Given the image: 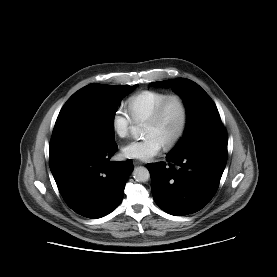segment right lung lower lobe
Returning a JSON list of instances; mask_svg holds the SVG:
<instances>
[{
  "label": "right lung lower lobe",
  "mask_w": 277,
  "mask_h": 277,
  "mask_svg": "<svg viewBox=\"0 0 277 277\" xmlns=\"http://www.w3.org/2000/svg\"><path fill=\"white\" fill-rule=\"evenodd\" d=\"M85 134L53 131L49 165L64 201L77 214L101 218L115 210L133 170L130 159L110 162L117 151Z\"/></svg>",
  "instance_id": "1"
}]
</instances>
